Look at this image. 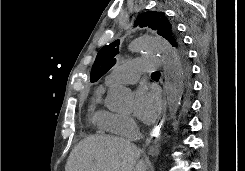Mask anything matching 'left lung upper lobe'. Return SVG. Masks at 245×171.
Returning <instances> with one entry per match:
<instances>
[{
    "mask_svg": "<svg viewBox=\"0 0 245 171\" xmlns=\"http://www.w3.org/2000/svg\"><path fill=\"white\" fill-rule=\"evenodd\" d=\"M148 26L165 38L175 48L178 61H188L186 51L178 37L175 27L168 21L164 12L149 11L139 15L134 26ZM119 53V40L102 47L92 66L90 81L96 82L116 63V56Z\"/></svg>",
    "mask_w": 245,
    "mask_h": 171,
    "instance_id": "obj_1",
    "label": "left lung upper lobe"
}]
</instances>
